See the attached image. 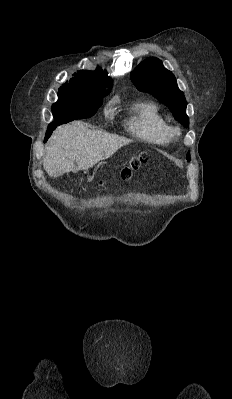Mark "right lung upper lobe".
I'll return each instance as SVG.
<instances>
[{"label": "right lung upper lobe", "mask_w": 232, "mask_h": 399, "mask_svg": "<svg viewBox=\"0 0 232 399\" xmlns=\"http://www.w3.org/2000/svg\"><path fill=\"white\" fill-rule=\"evenodd\" d=\"M74 75L75 77L59 88L58 93L107 95L112 88V79L99 68L95 71L81 70ZM105 86L109 89L106 90Z\"/></svg>", "instance_id": "right-lung-upper-lobe-1"}]
</instances>
